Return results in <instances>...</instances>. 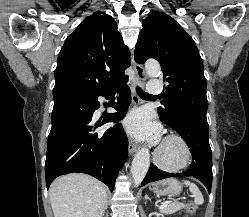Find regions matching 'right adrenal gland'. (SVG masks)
Listing matches in <instances>:
<instances>
[{"mask_svg":"<svg viewBox=\"0 0 249 217\" xmlns=\"http://www.w3.org/2000/svg\"><path fill=\"white\" fill-rule=\"evenodd\" d=\"M107 208H108V200L106 201V204H105V207H104V210H103V215H102V217L104 216L105 211L107 210Z\"/></svg>","mask_w":249,"mask_h":217,"instance_id":"obj_1","label":"right adrenal gland"}]
</instances>
